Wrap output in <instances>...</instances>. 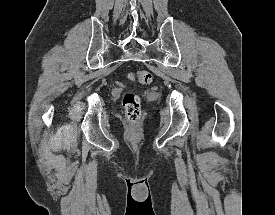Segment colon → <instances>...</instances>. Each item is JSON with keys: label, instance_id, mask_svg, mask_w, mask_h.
Wrapping results in <instances>:
<instances>
[{"label": "colon", "instance_id": "5ec220e1", "mask_svg": "<svg viewBox=\"0 0 275 215\" xmlns=\"http://www.w3.org/2000/svg\"><path fill=\"white\" fill-rule=\"evenodd\" d=\"M131 80H136L142 85H148L152 81V74L148 70H136L133 74H130ZM122 104L126 112L127 118L132 121H138L141 113L140 98L134 92H126L122 98Z\"/></svg>", "mask_w": 275, "mask_h": 215}]
</instances>
